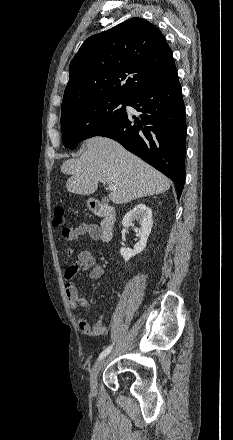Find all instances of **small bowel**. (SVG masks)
<instances>
[{
  "label": "small bowel",
  "mask_w": 233,
  "mask_h": 440,
  "mask_svg": "<svg viewBox=\"0 0 233 440\" xmlns=\"http://www.w3.org/2000/svg\"><path fill=\"white\" fill-rule=\"evenodd\" d=\"M62 236L70 242L84 240L85 238L97 241L99 239V227L94 223H82L74 228H63ZM66 254L68 265L64 273V283L69 305L73 310L81 307L84 312H88L90 303L85 297L80 295L76 286V280L82 273H86L90 280H97L104 274V267L97 263L96 256L90 249L81 251L76 256L75 261H72L74 256L72 248H67ZM77 323L81 333L91 338L104 336L109 332L108 327L103 323V317H99L93 326L82 317L78 318Z\"/></svg>",
  "instance_id": "small-bowel-1"
}]
</instances>
